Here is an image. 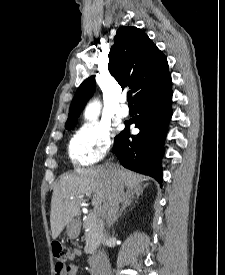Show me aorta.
Returning <instances> with one entry per match:
<instances>
[{
  "mask_svg": "<svg viewBox=\"0 0 225 275\" xmlns=\"http://www.w3.org/2000/svg\"><path fill=\"white\" fill-rule=\"evenodd\" d=\"M100 102L99 101H93L92 103H90L85 110V118L92 120L95 119L99 112H100Z\"/></svg>",
  "mask_w": 225,
  "mask_h": 275,
  "instance_id": "1",
  "label": "aorta"
}]
</instances>
